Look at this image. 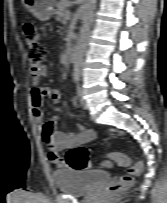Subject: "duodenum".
Returning <instances> with one entry per match:
<instances>
[{
  "label": "duodenum",
  "mask_w": 167,
  "mask_h": 203,
  "mask_svg": "<svg viewBox=\"0 0 167 203\" xmlns=\"http://www.w3.org/2000/svg\"><path fill=\"white\" fill-rule=\"evenodd\" d=\"M67 58L69 61L73 62L76 58V46L71 45L67 50Z\"/></svg>",
  "instance_id": "1"
}]
</instances>
